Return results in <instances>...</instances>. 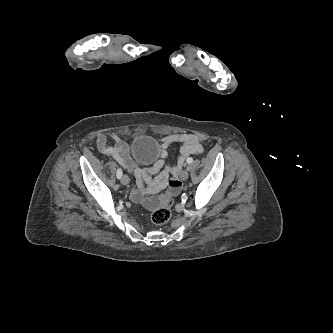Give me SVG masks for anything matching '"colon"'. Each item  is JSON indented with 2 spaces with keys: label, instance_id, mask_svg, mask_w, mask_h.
<instances>
[{
  "label": "colon",
  "instance_id": "colon-1",
  "mask_svg": "<svg viewBox=\"0 0 333 333\" xmlns=\"http://www.w3.org/2000/svg\"><path fill=\"white\" fill-rule=\"evenodd\" d=\"M173 203V194L166 193L161 199V204L151 213L153 223L162 225L167 223L171 218V205Z\"/></svg>",
  "mask_w": 333,
  "mask_h": 333
}]
</instances>
